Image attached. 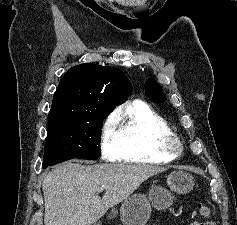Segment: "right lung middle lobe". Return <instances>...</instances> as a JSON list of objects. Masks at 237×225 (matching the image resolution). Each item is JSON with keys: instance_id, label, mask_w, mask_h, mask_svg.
<instances>
[{"instance_id": "dd1d6c3e", "label": "right lung middle lobe", "mask_w": 237, "mask_h": 225, "mask_svg": "<svg viewBox=\"0 0 237 225\" xmlns=\"http://www.w3.org/2000/svg\"><path fill=\"white\" fill-rule=\"evenodd\" d=\"M109 113L102 112L88 120L64 117L49 119L44 157L97 159L100 156L102 121Z\"/></svg>"}]
</instances>
